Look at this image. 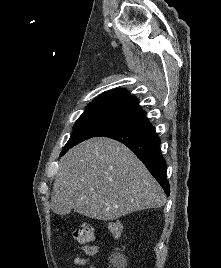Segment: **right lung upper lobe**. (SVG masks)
Listing matches in <instances>:
<instances>
[{
    "label": "right lung upper lobe",
    "mask_w": 221,
    "mask_h": 268,
    "mask_svg": "<svg viewBox=\"0 0 221 268\" xmlns=\"http://www.w3.org/2000/svg\"><path fill=\"white\" fill-rule=\"evenodd\" d=\"M139 101L127 94L126 89L104 92L95 98L85 111H104L123 117L126 122L144 117L145 112L139 108Z\"/></svg>",
    "instance_id": "cb5924a9"
}]
</instances>
